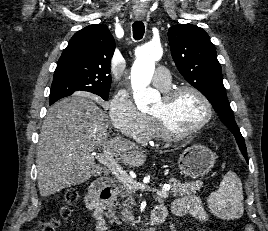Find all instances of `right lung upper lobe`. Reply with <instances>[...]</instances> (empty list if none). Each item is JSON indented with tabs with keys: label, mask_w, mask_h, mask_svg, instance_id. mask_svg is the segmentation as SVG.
Here are the masks:
<instances>
[{
	"label": "right lung upper lobe",
	"mask_w": 268,
	"mask_h": 231,
	"mask_svg": "<svg viewBox=\"0 0 268 231\" xmlns=\"http://www.w3.org/2000/svg\"><path fill=\"white\" fill-rule=\"evenodd\" d=\"M114 50L115 40L106 25H89L75 33L58 61L51 86L65 89L66 94L52 97L50 105L75 91L109 92Z\"/></svg>",
	"instance_id": "right-lung-upper-lobe-1"
}]
</instances>
